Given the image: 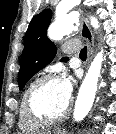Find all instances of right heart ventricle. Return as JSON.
<instances>
[{"label": "right heart ventricle", "mask_w": 116, "mask_h": 134, "mask_svg": "<svg viewBox=\"0 0 116 134\" xmlns=\"http://www.w3.org/2000/svg\"><path fill=\"white\" fill-rule=\"evenodd\" d=\"M38 80V78L33 79L25 88L19 105L18 114V126L19 129L24 133H34L42 128L43 124L33 121L27 114L25 110V97L31 86Z\"/></svg>", "instance_id": "right-heart-ventricle-1"}]
</instances>
